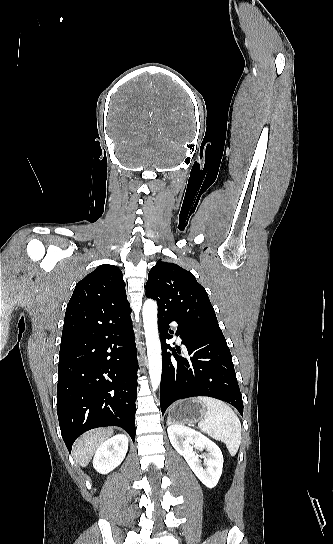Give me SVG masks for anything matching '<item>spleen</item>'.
Listing matches in <instances>:
<instances>
[{"instance_id": "obj_1", "label": "spleen", "mask_w": 333, "mask_h": 544, "mask_svg": "<svg viewBox=\"0 0 333 544\" xmlns=\"http://www.w3.org/2000/svg\"><path fill=\"white\" fill-rule=\"evenodd\" d=\"M197 400L207 409L198 427L224 442L230 454L236 455L241 443V423L236 413L221 400L204 396Z\"/></svg>"}]
</instances>
